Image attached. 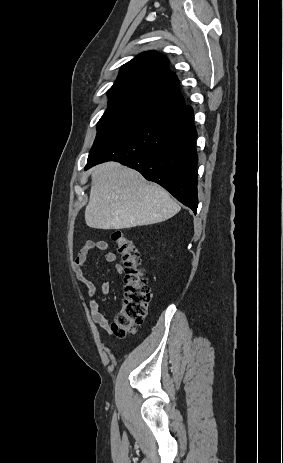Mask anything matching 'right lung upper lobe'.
<instances>
[{
	"label": "right lung upper lobe",
	"mask_w": 283,
	"mask_h": 463,
	"mask_svg": "<svg viewBox=\"0 0 283 463\" xmlns=\"http://www.w3.org/2000/svg\"><path fill=\"white\" fill-rule=\"evenodd\" d=\"M168 65L169 60L154 51L142 53L121 67L108 94L124 96L161 113L184 105L178 78Z\"/></svg>",
	"instance_id": "1"
}]
</instances>
